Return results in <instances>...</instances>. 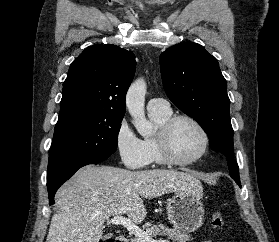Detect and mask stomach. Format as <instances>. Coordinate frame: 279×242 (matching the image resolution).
Returning a JSON list of instances; mask_svg holds the SVG:
<instances>
[{
	"label": "stomach",
	"instance_id": "stomach-1",
	"mask_svg": "<svg viewBox=\"0 0 279 242\" xmlns=\"http://www.w3.org/2000/svg\"><path fill=\"white\" fill-rule=\"evenodd\" d=\"M201 193L176 192L167 201V215L175 228L188 233L198 230L204 221L205 210Z\"/></svg>",
	"mask_w": 279,
	"mask_h": 242
}]
</instances>
